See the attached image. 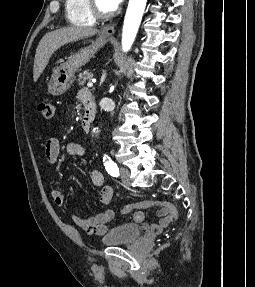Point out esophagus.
<instances>
[{"label": "esophagus", "instance_id": "esophagus-1", "mask_svg": "<svg viewBox=\"0 0 255 287\" xmlns=\"http://www.w3.org/2000/svg\"><path fill=\"white\" fill-rule=\"evenodd\" d=\"M115 26H116L115 24L106 25L101 29L100 34L102 36L112 37L115 33Z\"/></svg>", "mask_w": 255, "mask_h": 287}]
</instances>
